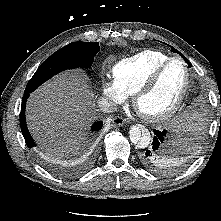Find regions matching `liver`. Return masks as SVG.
Wrapping results in <instances>:
<instances>
[{"label":"liver","mask_w":221,"mask_h":221,"mask_svg":"<svg viewBox=\"0 0 221 221\" xmlns=\"http://www.w3.org/2000/svg\"><path fill=\"white\" fill-rule=\"evenodd\" d=\"M95 118L93 94L84 74L62 73L31 94L26 108L28 128L51 156L75 154Z\"/></svg>","instance_id":"6515ba94"}]
</instances>
